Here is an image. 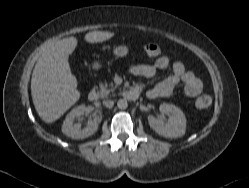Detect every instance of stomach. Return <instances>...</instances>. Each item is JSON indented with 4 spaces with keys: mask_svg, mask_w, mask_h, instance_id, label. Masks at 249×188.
Returning a JSON list of instances; mask_svg holds the SVG:
<instances>
[{
    "mask_svg": "<svg viewBox=\"0 0 249 188\" xmlns=\"http://www.w3.org/2000/svg\"><path fill=\"white\" fill-rule=\"evenodd\" d=\"M113 54L116 56V57H124L128 54V48L126 46H118L116 48H114L113 50ZM101 63L99 62H95L93 64V68L94 69H100L101 68Z\"/></svg>",
    "mask_w": 249,
    "mask_h": 188,
    "instance_id": "stomach-1",
    "label": "stomach"
}]
</instances>
